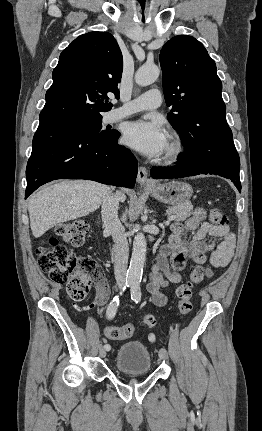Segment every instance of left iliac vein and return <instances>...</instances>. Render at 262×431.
Returning <instances> with one entry per match:
<instances>
[{
	"label": "left iliac vein",
	"mask_w": 262,
	"mask_h": 431,
	"mask_svg": "<svg viewBox=\"0 0 262 431\" xmlns=\"http://www.w3.org/2000/svg\"><path fill=\"white\" fill-rule=\"evenodd\" d=\"M159 358H160V360H167L168 353H167V350L165 348H161L159 350Z\"/></svg>",
	"instance_id": "left-iliac-vein-1"
}]
</instances>
